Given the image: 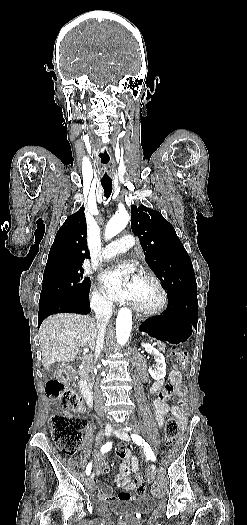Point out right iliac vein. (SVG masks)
Returning a JSON list of instances; mask_svg holds the SVG:
<instances>
[{
  "mask_svg": "<svg viewBox=\"0 0 247 525\" xmlns=\"http://www.w3.org/2000/svg\"><path fill=\"white\" fill-rule=\"evenodd\" d=\"M112 431H113V429H112L111 426H106L105 431H104L105 436H110ZM94 476H95V474H94V472H92L91 475H90V478L93 479Z\"/></svg>",
  "mask_w": 247,
  "mask_h": 525,
  "instance_id": "63e3f726",
  "label": "right iliac vein"
}]
</instances>
